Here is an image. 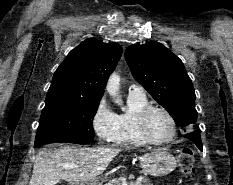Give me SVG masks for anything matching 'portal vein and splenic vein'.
I'll list each match as a JSON object with an SVG mask.
<instances>
[{
  "label": "portal vein and splenic vein",
  "instance_id": "obj_1",
  "mask_svg": "<svg viewBox=\"0 0 233 185\" xmlns=\"http://www.w3.org/2000/svg\"><path fill=\"white\" fill-rule=\"evenodd\" d=\"M65 169H70V168H77L76 165H64ZM124 185H127L126 183Z\"/></svg>",
  "mask_w": 233,
  "mask_h": 185
}]
</instances>
